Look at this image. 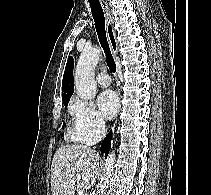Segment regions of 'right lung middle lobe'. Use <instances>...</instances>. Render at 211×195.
<instances>
[{"mask_svg": "<svg viewBox=\"0 0 211 195\" xmlns=\"http://www.w3.org/2000/svg\"><path fill=\"white\" fill-rule=\"evenodd\" d=\"M64 105H65V107H67V105H68V102H65V103H64Z\"/></svg>", "mask_w": 211, "mask_h": 195, "instance_id": "dd1d6c3e", "label": "right lung middle lobe"}]
</instances>
